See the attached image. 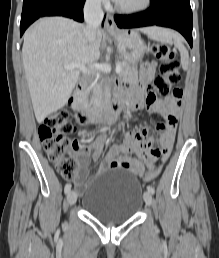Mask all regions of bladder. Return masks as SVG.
<instances>
[{"mask_svg":"<svg viewBox=\"0 0 219 258\" xmlns=\"http://www.w3.org/2000/svg\"><path fill=\"white\" fill-rule=\"evenodd\" d=\"M143 191L134 175L110 169L94 175L82 197L83 209L108 225L132 219L142 207Z\"/></svg>","mask_w":219,"mask_h":258,"instance_id":"1","label":"bladder"}]
</instances>
